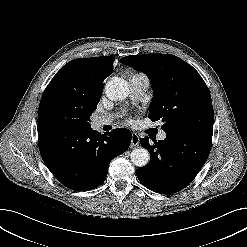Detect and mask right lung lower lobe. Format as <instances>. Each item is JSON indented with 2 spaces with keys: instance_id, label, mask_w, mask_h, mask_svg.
<instances>
[{
  "instance_id": "obj_1",
  "label": "right lung lower lobe",
  "mask_w": 247,
  "mask_h": 247,
  "mask_svg": "<svg viewBox=\"0 0 247 247\" xmlns=\"http://www.w3.org/2000/svg\"><path fill=\"white\" fill-rule=\"evenodd\" d=\"M131 138L126 128L102 136L90 127L75 130L38 120V146L44 163L59 182L77 191L100 186L110 161L128 149Z\"/></svg>"
}]
</instances>
